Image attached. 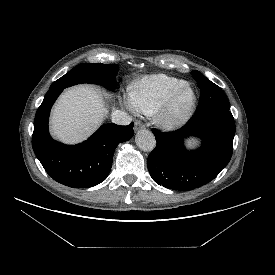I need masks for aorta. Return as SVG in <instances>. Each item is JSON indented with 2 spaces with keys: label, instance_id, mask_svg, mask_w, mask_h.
<instances>
[{
  "label": "aorta",
  "instance_id": "1",
  "mask_svg": "<svg viewBox=\"0 0 275 275\" xmlns=\"http://www.w3.org/2000/svg\"><path fill=\"white\" fill-rule=\"evenodd\" d=\"M135 141L137 146L145 152H151L156 146V140L153 133L146 129L138 131Z\"/></svg>",
  "mask_w": 275,
  "mask_h": 275
}]
</instances>
